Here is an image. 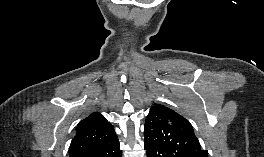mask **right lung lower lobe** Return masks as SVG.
I'll return each mask as SVG.
<instances>
[{"label": "right lung lower lobe", "instance_id": "right-lung-lower-lobe-1", "mask_svg": "<svg viewBox=\"0 0 264 157\" xmlns=\"http://www.w3.org/2000/svg\"><path fill=\"white\" fill-rule=\"evenodd\" d=\"M88 157H122V150H120L119 141L116 140L111 145L89 155Z\"/></svg>", "mask_w": 264, "mask_h": 157}]
</instances>
